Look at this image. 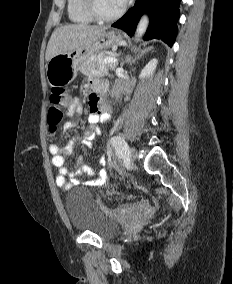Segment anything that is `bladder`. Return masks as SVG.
<instances>
[{
	"instance_id": "1",
	"label": "bladder",
	"mask_w": 233,
	"mask_h": 284,
	"mask_svg": "<svg viewBox=\"0 0 233 284\" xmlns=\"http://www.w3.org/2000/svg\"><path fill=\"white\" fill-rule=\"evenodd\" d=\"M65 207L71 226L76 231L89 232L102 239L112 238L120 231L119 224L105 213L88 189L69 191Z\"/></svg>"
}]
</instances>
